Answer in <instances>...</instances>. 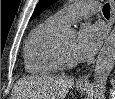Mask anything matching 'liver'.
Instances as JSON below:
<instances>
[{
    "mask_svg": "<svg viewBox=\"0 0 115 99\" xmlns=\"http://www.w3.org/2000/svg\"><path fill=\"white\" fill-rule=\"evenodd\" d=\"M73 78L42 76L21 78L14 86L17 99H65Z\"/></svg>",
    "mask_w": 115,
    "mask_h": 99,
    "instance_id": "6515ba94",
    "label": "liver"
}]
</instances>
